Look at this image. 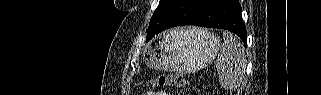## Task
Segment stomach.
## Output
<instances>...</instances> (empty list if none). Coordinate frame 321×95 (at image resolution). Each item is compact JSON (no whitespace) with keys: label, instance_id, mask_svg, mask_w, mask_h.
Returning <instances> with one entry per match:
<instances>
[{"label":"stomach","instance_id":"obj_1","mask_svg":"<svg viewBox=\"0 0 321 95\" xmlns=\"http://www.w3.org/2000/svg\"><path fill=\"white\" fill-rule=\"evenodd\" d=\"M220 40L197 28L165 32L153 42L147 63L155 69L193 72L203 68L216 56Z\"/></svg>","mask_w":321,"mask_h":95}]
</instances>
